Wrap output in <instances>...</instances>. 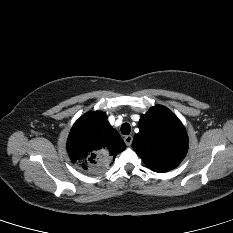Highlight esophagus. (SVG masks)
<instances>
[{
    "label": "esophagus",
    "instance_id": "1",
    "mask_svg": "<svg viewBox=\"0 0 233 233\" xmlns=\"http://www.w3.org/2000/svg\"><path fill=\"white\" fill-rule=\"evenodd\" d=\"M133 141V137L131 135H127L124 137V142L126 143L127 146H131Z\"/></svg>",
    "mask_w": 233,
    "mask_h": 233
}]
</instances>
